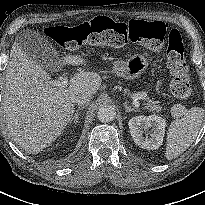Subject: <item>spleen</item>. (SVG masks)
I'll return each mask as SVG.
<instances>
[{
    "label": "spleen",
    "instance_id": "3e777b00",
    "mask_svg": "<svg viewBox=\"0 0 205 205\" xmlns=\"http://www.w3.org/2000/svg\"><path fill=\"white\" fill-rule=\"evenodd\" d=\"M204 117V109L193 107L184 113V117L174 120L168 129L165 156L168 160L181 155L194 142Z\"/></svg>",
    "mask_w": 205,
    "mask_h": 205
}]
</instances>
